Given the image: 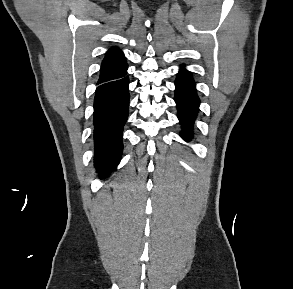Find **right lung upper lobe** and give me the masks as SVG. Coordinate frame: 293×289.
I'll return each instance as SVG.
<instances>
[{
	"mask_svg": "<svg viewBox=\"0 0 293 289\" xmlns=\"http://www.w3.org/2000/svg\"><path fill=\"white\" fill-rule=\"evenodd\" d=\"M127 62L122 51L116 47L111 48L105 55L101 64L100 77L97 84L120 79L127 72Z\"/></svg>",
	"mask_w": 293,
	"mask_h": 289,
	"instance_id": "1",
	"label": "right lung upper lobe"
}]
</instances>
